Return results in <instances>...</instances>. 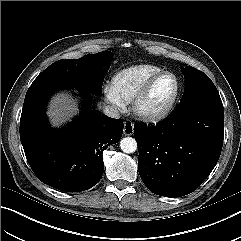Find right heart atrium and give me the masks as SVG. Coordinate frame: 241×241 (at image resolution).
Returning <instances> with one entry per match:
<instances>
[{
    "label": "right heart atrium",
    "mask_w": 241,
    "mask_h": 241,
    "mask_svg": "<svg viewBox=\"0 0 241 241\" xmlns=\"http://www.w3.org/2000/svg\"><path fill=\"white\" fill-rule=\"evenodd\" d=\"M105 100L112 106L122 109L125 106L124 101L120 98L112 85H106L103 89Z\"/></svg>",
    "instance_id": "obj_1"
}]
</instances>
